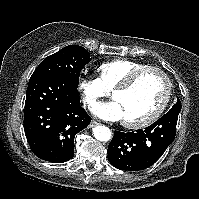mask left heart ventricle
Here are the masks:
<instances>
[{"mask_svg":"<svg viewBox=\"0 0 199 199\" xmlns=\"http://www.w3.org/2000/svg\"><path fill=\"white\" fill-rule=\"evenodd\" d=\"M166 92L164 78L155 72L142 76L132 89L116 93L113 99L123 111V119L136 121L150 115L160 104Z\"/></svg>","mask_w":199,"mask_h":199,"instance_id":"obj_1","label":"left heart ventricle"}]
</instances>
